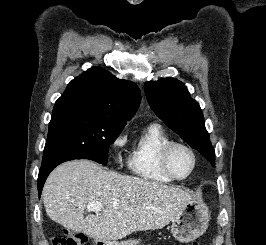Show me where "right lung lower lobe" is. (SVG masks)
I'll list each match as a JSON object with an SVG mask.
<instances>
[{
  "label": "right lung lower lobe",
  "instance_id": "obj_1",
  "mask_svg": "<svg viewBox=\"0 0 266 245\" xmlns=\"http://www.w3.org/2000/svg\"><path fill=\"white\" fill-rule=\"evenodd\" d=\"M71 160L70 158H57L41 165L38 176V193L41 196L42 188L49 173L59 164Z\"/></svg>",
  "mask_w": 266,
  "mask_h": 245
}]
</instances>
